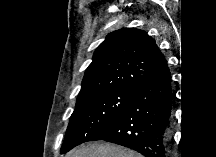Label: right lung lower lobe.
Masks as SVG:
<instances>
[{
  "label": "right lung lower lobe",
  "instance_id": "98d812e1",
  "mask_svg": "<svg viewBox=\"0 0 216 157\" xmlns=\"http://www.w3.org/2000/svg\"><path fill=\"white\" fill-rule=\"evenodd\" d=\"M171 76L168 66L135 86L120 116L92 141L104 140L134 149L144 157H167L171 139Z\"/></svg>",
  "mask_w": 216,
  "mask_h": 157
}]
</instances>
